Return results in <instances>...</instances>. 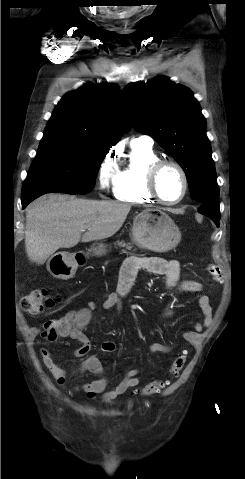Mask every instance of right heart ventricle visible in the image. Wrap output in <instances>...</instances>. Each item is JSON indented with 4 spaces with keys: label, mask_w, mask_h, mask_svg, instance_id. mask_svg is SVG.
<instances>
[{
    "label": "right heart ventricle",
    "mask_w": 245,
    "mask_h": 479,
    "mask_svg": "<svg viewBox=\"0 0 245 479\" xmlns=\"http://www.w3.org/2000/svg\"><path fill=\"white\" fill-rule=\"evenodd\" d=\"M158 159L152 146L132 141L127 162L118 170L115 178L113 187L116 199L141 204L156 202L147 190V173Z\"/></svg>",
    "instance_id": "1"
}]
</instances>
